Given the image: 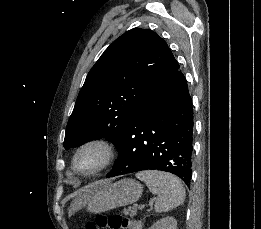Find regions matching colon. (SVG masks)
<instances>
[{
	"label": "colon",
	"instance_id": "colon-1",
	"mask_svg": "<svg viewBox=\"0 0 261 229\" xmlns=\"http://www.w3.org/2000/svg\"><path fill=\"white\" fill-rule=\"evenodd\" d=\"M84 229H139L137 223L121 214H99L94 221L86 223Z\"/></svg>",
	"mask_w": 261,
	"mask_h": 229
}]
</instances>
